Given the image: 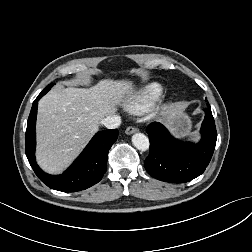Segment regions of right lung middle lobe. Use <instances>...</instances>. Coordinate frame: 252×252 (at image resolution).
Returning a JSON list of instances; mask_svg holds the SVG:
<instances>
[{"label": "right lung middle lobe", "instance_id": "obj_1", "mask_svg": "<svg viewBox=\"0 0 252 252\" xmlns=\"http://www.w3.org/2000/svg\"><path fill=\"white\" fill-rule=\"evenodd\" d=\"M52 86L53 84H49L43 91L47 93L51 89Z\"/></svg>", "mask_w": 252, "mask_h": 252}]
</instances>
